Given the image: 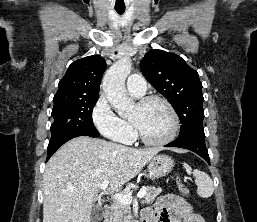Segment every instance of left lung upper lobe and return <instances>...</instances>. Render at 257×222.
I'll use <instances>...</instances> for the list:
<instances>
[{
	"label": "left lung upper lobe",
	"instance_id": "1",
	"mask_svg": "<svg viewBox=\"0 0 257 222\" xmlns=\"http://www.w3.org/2000/svg\"><path fill=\"white\" fill-rule=\"evenodd\" d=\"M145 78L173 106L182 123L178 140L204 138L202 83L197 71L174 53L148 51L140 62Z\"/></svg>",
	"mask_w": 257,
	"mask_h": 222
}]
</instances>
